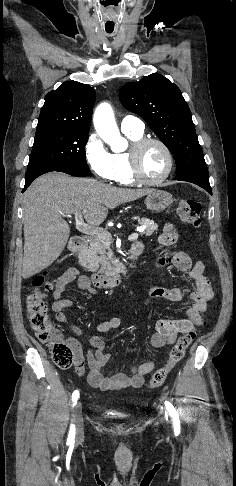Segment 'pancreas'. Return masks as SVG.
Returning <instances> with one entry per match:
<instances>
[{
  "mask_svg": "<svg viewBox=\"0 0 236 486\" xmlns=\"http://www.w3.org/2000/svg\"><path fill=\"white\" fill-rule=\"evenodd\" d=\"M138 222L140 225L145 226L144 231L141 233L142 235L150 236L158 229V225L150 219L141 218ZM110 246L111 238L110 240H104L93 237L90 240L88 250L80 257V265L90 272L111 276L115 271L116 262L112 257L113 253Z\"/></svg>",
  "mask_w": 236,
  "mask_h": 486,
  "instance_id": "obj_1",
  "label": "pancreas"
}]
</instances>
